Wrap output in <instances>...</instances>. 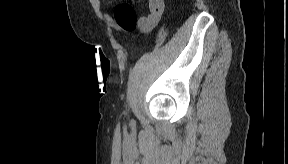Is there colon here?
Listing matches in <instances>:
<instances>
[{
	"mask_svg": "<svg viewBox=\"0 0 288 164\" xmlns=\"http://www.w3.org/2000/svg\"><path fill=\"white\" fill-rule=\"evenodd\" d=\"M160 9L156 7L150 8V14L152 17H159L160 16ZM114 18L115 21L126 31L132 32L135 31L138 27V17L133 7L126 3H121L119 6L116 7L114 11ZM146 18V17H144ZM149 24H144L143 28L149 29Z\"/></svg>",
	"mask_w": 288,
	"mask_h": 164,
	"instance_id": "5ec220e1",
	"label": "colon"
}]
</instances>
